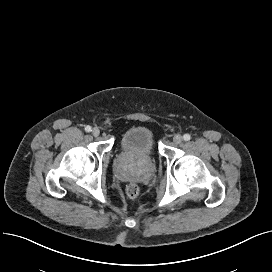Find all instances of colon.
<instances>
[{
  "label": "colon",
  "mask_w": 272,
  "mask_h": 272,
  "mask_svg": "<svg viewBox=\"0 0 272 272\" xmlns=\"http://www.w3.org/2000/svg\"><path fill=\"white\" fill-rule=\"evenodd\" d=\"M139 192H140V189H139L138 185H136L134 183L129 184L126 188V194L130 199L137 198L139 195Z\"/></svg>",
  "instance_id": "5ec220e1"
}]
</instances>
